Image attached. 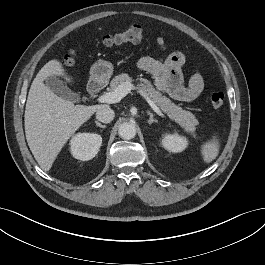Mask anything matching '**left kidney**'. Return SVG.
I'll list each match as a JSON object with an SVG mask.
<instances>
[{
    "label": "left kidney",
    "instance_id": "5707ae66",
    "mask_svg": "<svg viewBox=\"0 0 265 265\" xmlns=\"http://www.w3.org/2000/svg\"><path fill=\"white\" fill-rule=\"evenodd\" d=\"M188 145L186 137L178 133L166 134L162 139V146L170 152H182Z\"/></svg>",
    "mask_w": 265,
    "mask_h": 265
}]
</instances>
